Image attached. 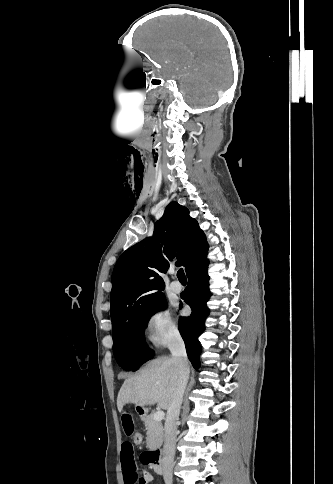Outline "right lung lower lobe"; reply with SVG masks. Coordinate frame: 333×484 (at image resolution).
I'll use <instances>...</instances> for the list:
<instances>
[{"mask_svg": "<svg viewBox=\"0 0 333 484\" xmlns=\"http://www.w3.org/2000/svg\"><path fill=\"white\" fill-rule=\"evenodd\" d=\"M207 258L188 274V287L184 301L191 307L190 317L180 318L179 331L184 339L189 360L197 370L200 366L201 345L198 337L205 330V319L209 315L206 302L210 298Z\"/></svg>", "mask_w": 333, "mask_h": 484, "instance_id": "obj_1", "label": "right lung lower lobe"}]
</instances>
